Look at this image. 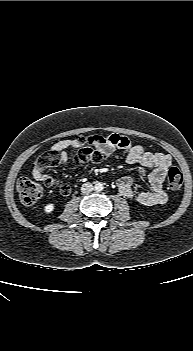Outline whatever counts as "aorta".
I'll return each instance as SVG.
<instances>
[{
  "label": "aorta",
  "mask_w": 193,
  "mask_h": 351,
  "mask_svg": "<svg viewBox=\"0 0 193 351\" xmlns=\"http://www.w3.org/2000/svg\"><path fill=\"white\" fill-rule=\"evenodd\" d=\"M95 190L100 192L103 190V184L101 182H96L95 186H94Z\"/></svg>",
  "instance_id": "1"
}]
</instances>
